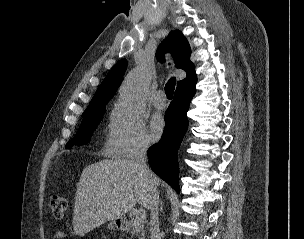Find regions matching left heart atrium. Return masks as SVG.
Instances as JSON below:
<instances>
[{
  "label": "left heart atrium",
  "mask_w": 304,
  "mask_h": 239,
  "mask_svg": "<svg viewBox=\"0 0 304 239\" xmlns=\"http://www.w3.org/2000/svg\"><path fill=\"white\" fill-rule=\"evenodd\" d=\"M165 122L161 115H155L150 122V137L152 140L160 138L164 131Z\"/></svg>",
  "instance_id": "left-heart-atrium-1"
}]
</instances>
